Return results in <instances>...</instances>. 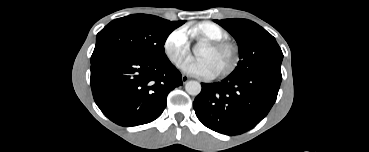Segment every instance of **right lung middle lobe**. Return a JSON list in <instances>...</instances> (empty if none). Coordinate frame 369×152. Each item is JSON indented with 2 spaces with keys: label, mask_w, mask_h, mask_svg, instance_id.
<instances>
[{
  "label": "right lung middle lobe",
  "mask_w": 369,
  "mask_h": 152,
  "mask_svg": "<svg viewBox=\"0 0 369 152\" xmlns=\"http://www.w3.org/2000/svg\"><path fill=\"white\" fill-rule=\"evenodd\" d=\"M184 22L175 23L147 14H133L115 19L97 34L91 62L111 55H127L141 59L166 58L165 41L169 34Z\"/></svg>",
  "instance_id": "right-lung-middle-lobe-1"
}]
</instances>
